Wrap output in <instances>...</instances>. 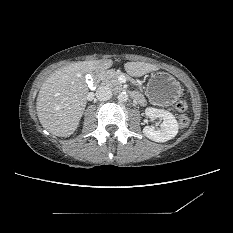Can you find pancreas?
Returning a JSON list of instances; mask_svg holds the SVG:
<instances>
[{"instance_id":"pancreas-1","label":"pancreas","mask_w":233,"mask_h":233,"mask_svg":"<svg viewBox=\"0 0 233 233\" xmlns=\"http://www.w3.org/2000/svg\"><path fill=\"white\" fill-rule=\"evenodd\" d=\"M121 74L122 73L119 71H111L104 76L103 82L110 87H113L115 89H120L122 84L119 82L118 77Z\"/></svg>"}]
</instances>
